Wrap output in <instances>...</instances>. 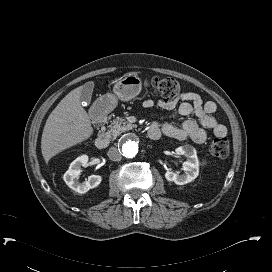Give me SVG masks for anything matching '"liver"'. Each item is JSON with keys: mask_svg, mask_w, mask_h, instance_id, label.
<instances>
[{"mask_svg": "<svg viewBox=\"0 0 272 272\" xmlns=\"http://www.w3.org/2000/svg\"><path fill=\"white\" fill-rule=\"evenodd\" d=\"M83 86L69 92L46 121L41 138V152L46 163L63 150L87 140L93 133L90 117L81 106Z\"/></svg>", "mask_w": 272, "mask_h": 272, "instance_id": "1", "label": "liver"}]
</instances>
